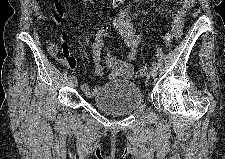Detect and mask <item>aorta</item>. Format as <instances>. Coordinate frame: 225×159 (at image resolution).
<instances>
[{
  "mask_svg": "<svg viewBox=\"0 0 225 159\" xmlns=\"http://www.w3.org/2000/svg\"><path fill=\"white\" fill-rule=\"evenodd\" d=\"M121 1L120 0H113V5L117 6Z\"/></svg>",
  "mask_w": 225,
  "mask_h": 159,
  "instance_id": "obj_1",
  "label": "aorta"
}]
</instances>
